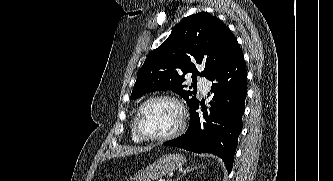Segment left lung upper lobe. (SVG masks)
Instances as JSON below:
<instances>
[{"instance_id":"5c2ea615","label":"left lung upper lobe","mask_w":333,"mask_h":181,"mask_svg":"<svg viewBox=\"0 0 333 181\" xmlns=\"http://www.w3.org/2000/svg\"><path fill=\"white\" fill-rule=\"evenodd\" d=\"M238 47L235 36L219 18L207 12L188 16L148 55L137 73L131 99L151 91L172 90L184 98L191 110L199 101L186 90L184 76L191 73L194 83L197 76L209 78ZM198 65L203 66V71H198Z\"/></svg>"}]
</instances>
